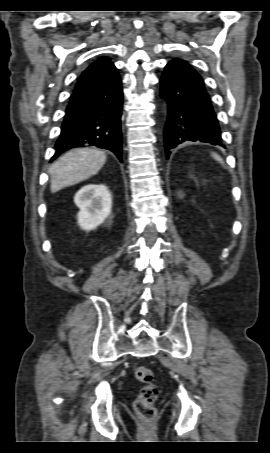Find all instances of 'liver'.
<instances>
[{
	"mask_svg": "<svg viewBox=\"0 0 270 453\" xmlns=\"http://www.w3.org/2000/svg\"><path fill=\"white\" fill-rule=\"evenodd\" d=\"M106 154L96 148H77L65 153L50 169V190H59L77 184L95 175L105 164Z\"/></svg>",
	"mask_w": 270,
	"mask_h": 453,
	"instance_id": "6515ba94",
	"label": "liver"
}]
</instances>
